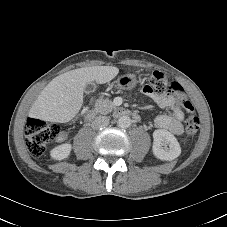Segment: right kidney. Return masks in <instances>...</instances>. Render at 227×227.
I'll return each instance as SVG.
<instances>
[{"label":"right kidney","mask_w":227,"mask_h":227,"mask_svg":"<svg viewBox=\"0 0 227 227\" xmlns=\"http://www.w3.org/2000/svg\"><path fill=\"white\" fill-rule=\"evenodd\" d=\"M72 145L69 143L61 144L51 150V157L56 160H62L69 156Z\"/></svg>","instance_id":"1"}]
</instances>
